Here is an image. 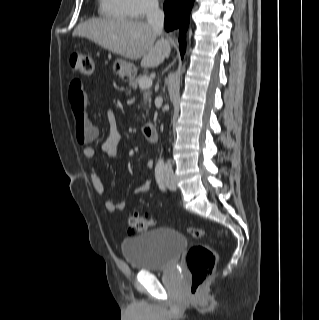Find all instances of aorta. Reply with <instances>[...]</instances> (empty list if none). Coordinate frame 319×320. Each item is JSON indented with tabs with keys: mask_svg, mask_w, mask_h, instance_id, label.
<instances>
[{
	"mask_svg": "<svg viewBox=\"0 0 319 320\" xmlns=\"http://www.w3.org/2000/svg\"><path fill=\"white\" fill-rule=\"evenodd\" d=\"M162 163H163V159L160 157L159 161H158V164H162Z\"/></svg>",
	"mask_w": 319,
	"mask_h": 320,
	"instance_id": "1",
	"label": "aorta"
}]
</instances>
